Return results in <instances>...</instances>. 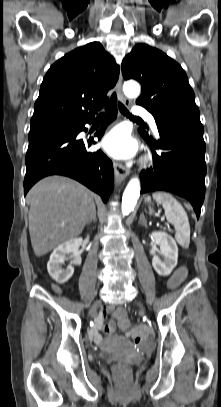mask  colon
I'll list each match as a JSON object with an SVG mask.
<instances>
[{
  "instance_id": "5ec220e1",
  "label": "colon",
  "mask_w": 221,
  "mask_h": 407,
  "mask_svg": "<svg viewBox=\"0 0 221 407\" xmlns=\"http://www.w3.org/2000/svg\"><path fill=\"white\" fill-rule=\"evenodd\" d=\"M189 272L188 265H177L176 270H174L173 275L169 277V283L167 284V289L169 291H176L179 284H185L187 281L186 274ZM128 312L126 309L120 307L116 316V325L119 330L131 329L133 323L127 317ZM130 337L135 341L139 342L145 337V331L141 328L134 329L130 333ZM114 376L120 385H125L128 383L130 378V368L125 365L118 363L113 367Z\"/></svg>"
}]
</instances>
